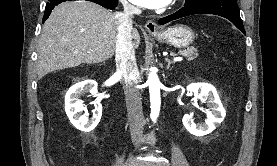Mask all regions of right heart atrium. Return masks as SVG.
Returning <instances> with one entry per match:
<instances>
[{"label":"right heart atrium","mask_w":277,"mask_h":166,"mask_svg":"<svg viewBox=\"0 0 277 166\" xmlns=\"http://www.w3.org/2000/svg\"><path fill=\"white\" fill-rule=\"evenodd\" d=\"M123 4V6L128 9V10H132L133 6L128 2V0H120Z\"/></svg>","instance_id":"1"}]
</instances>
